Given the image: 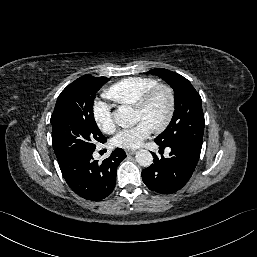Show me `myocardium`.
<instances>
[{"label":"myocardium","mask_w":257,"mask_h":257,"mask_svg":"<svg viewBox=\"0 0 257 257\" xmlns=\"http://www.w3.org/2000/svg\"><path fill=\"white\" fill-rule=\"evenodd\" d=\"M159 93L166 94L168 99V110L163 122L158 126L152 128L155 132L164 131L172 122L176 110V95L174 90L169 85L158 84L155 87L148 90L134 106L135 110L137 111L146 110Z\"/></svg>","instance_id":"myocardium-1"}]
</instances>
